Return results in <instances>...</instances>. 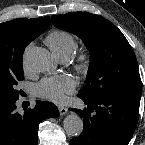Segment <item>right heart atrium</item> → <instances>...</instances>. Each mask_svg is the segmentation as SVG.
I'll return each mask as SVG.
<instances>
[{"instance_id": "d8ad5b80", "label": "right heart atrium", "mask_w": 145, "mask_h": 145, "mask_svg": "<svg viewBox=\"0 0 145 145\" xmlns=\"http://www.w3.org/2000/svg\"><path fill=\"white\" fill-rule=\"evenodd\" d=\"M29 49H30V45H28V46L25 48L24 53H23V67H24V69H26V67H25V59H26V55H27Z\"/></svg>"}]
</instances>
